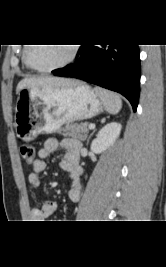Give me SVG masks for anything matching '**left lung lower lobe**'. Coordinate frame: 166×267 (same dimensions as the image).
<instances>
[{"instance_id":"1","label":"left lung lower lobe","mask_w":166,"mask_h":267,"mask_svg":"<svg viewBox=\"0 0 166 267\" xmlns=\"http://www.w3.org/2000/svg\"><path fill=\"white\" fill-rule=\"evenodd\" d=\"M77 61L53 71L124 95L136 111L140 92L138 45H81Z\"/></svg>"}]
</instances>
